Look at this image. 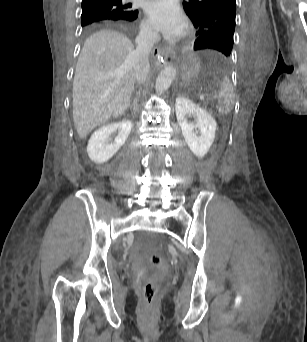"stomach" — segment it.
Masks as SVG:
<instances>
[{
    "label": "stomach",
    "mask_w": 307,
    "mask_h": 342,
    "mask_svg": "<svg viewBox=\"0 0 307 342\" xmlns=\"http://www.w3.org/2000/svg\"><path fill=\"white\" fill-rule=\"evenodd\" d=\"M191 62H192V59L189 57L183 59V61H182V68L184 71V74L182 76V80L185 82L189 81L191 76H192V69H191V67H189Z\"/></svg>",
    "instance_id": "obj_1"
}]
</instances>
